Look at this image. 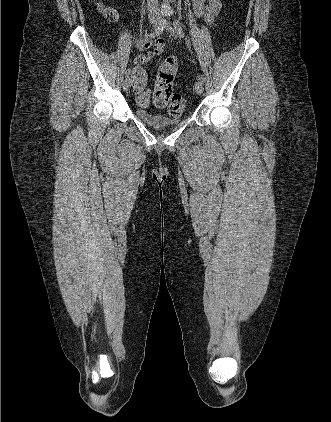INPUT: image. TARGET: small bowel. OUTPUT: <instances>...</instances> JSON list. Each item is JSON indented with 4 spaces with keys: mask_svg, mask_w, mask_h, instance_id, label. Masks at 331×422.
<instances>
[{
    "mask_svg": "<svg viewBox=\"0 0 331 422\" xmlns=\"http://www.w3.org/2000/svg\"><path fill=\"white\" fill-rule=\"evenodd\" d=\"M221 7L222 0H193V9L196 17L203 19L207 23L213 22ZM133 42L140 51L144 52L148 50L146 53H142L133 59V62L136 65L145 64L154 56L162 54L166 46L164 38H157L153 43L133 38ZM132 82L134 91L137 95V104L142 106L147 105L149 101L143 104L140 98L141 95L150 96V90L147 87V78L136 79L133 77Z\"/></svg>",
    "mask_w": 331,
    "mask_h": 422,
    "instance_id": "1",
    "label": "small bowel"
}]
</instances>
